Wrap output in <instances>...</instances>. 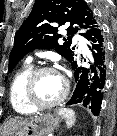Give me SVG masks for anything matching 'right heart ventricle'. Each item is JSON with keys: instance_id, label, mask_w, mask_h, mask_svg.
I'll use <instances>...</instances> for the list:
<instances>
[{"instance_id": "e07e8e85", "label": "right heart ventricle", "mask_w": 117, "mask_h": 136, "mask_svg": "<svg viewBox=\"0 0 117 136\" xmlns=\"http://www.w3.org/2000/svg\"><path fill=\"white\" fill-rule=\"evenodd\" d=\"M33 66L26 63L13 77L10 85V102L15 112L20 115L33 114L34 110L25 99V85L26 81L33 71Z\"/></svg>"}]
</instances>
